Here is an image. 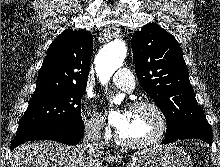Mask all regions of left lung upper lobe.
Here are the masks:
<instances>
[{"label": "left lung upper lobe", "mask_w": 220, "mask_h": 167, "mask_svg": "<svg viewBox=\"0 0 220 167\" xmlns=\"http://www.w3.org/2000/svg\"><path fill=\"white\" fill-rule=\"evenodd\" d=\"M135 71L167 121L166 138L209 126L189 81L180 45L173 35L150 23L132 36Z\"/></svg>", "instance_id": "5c2ea615"}]
</instances>
